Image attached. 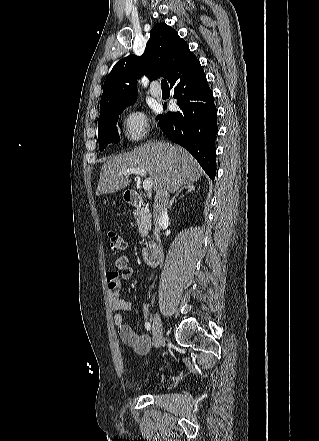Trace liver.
I'll use <instances>...</instances> for the list:
<instances>
[{"label": "liver", "instance_id": "1", "mask_svg": "<svg viewBox=\"0 0 319 441\" xmlns=\"http://www.w3.org/2000/svg\"><path fill=\"white\" fill-rule=\"evenodd\" d=\"M128 168H144L160 196L174 193L187 183L197 182L203 175L197 161L184 148L166 141L148 142L134 151L107 159L100 172L96 195L116 193L127 187L129 174L118 173Z\"/></svg>", "mask_w": 319, "mask_h": 441}]
</instances>
